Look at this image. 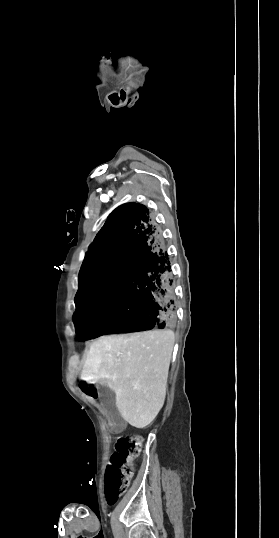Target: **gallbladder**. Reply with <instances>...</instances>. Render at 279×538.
<instances>
[{
	"mask_svg": "<svg viewBox=\"0 0 279 538\" xmlns=\"http://www.w3.org/2000/svg\"><path fill=\"white\" fill-rule=\"evenodd\" d=\"M99 388V392L101 394L102 401V408L104 410H110L108 414V419L110 422H116L113 424L112 429L114 432L119 433L123 429L124 420L122 419V414L120 411L115 409L114 403V390H111V388H108L106 384H97Z\"/></svg>",
	"mask_w": 279,
	"mask_h": 538,
	"instance_id": "gallbladder-1",
	"label": "gallbladder"
}]
</instances>
